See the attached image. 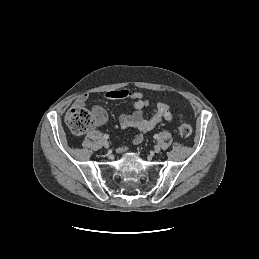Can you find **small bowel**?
I'll list each match as a JSON object with an SVG mask.
<instances>
[{
	"instance_id": "small-bowel-1",
	"label": "small bowel",
	"mask_w": 259,
	"mask_h": 259,
	"mask_svg": "<svg viewBox=\"0 0 259 259\" xmlns=\"http://www.w3.org/2000/svg\"><path fill=\"white\" fill-rule=\"evenodd\" d=\"M105 99L116 100V99H128L134 111L130 114H122L119 117L120 126L123 129L134 128L137 133L132 139L134 145L140 144L145 135L150 132L159 122L162 120L171 121L172 115L169 106L163 102H157L154 105L153 112L146 116L144 113L145 108L152 104V96L145 95L142 92H132L127 89L111 90L104 94ZM88 100V94H84L77 98L75 105L83 106ZM93 115L96 124L102 125L107 120L106 110L99 105L93 107ZM126 150L124 145H120L117 148L119 153Z\"/></svg>"
}]
</instances>
